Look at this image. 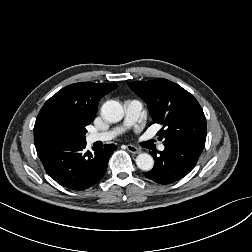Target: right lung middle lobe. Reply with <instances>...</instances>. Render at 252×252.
Segmentation results:
<instances>
[{
	"mask_svg": "<svg viewBox=\"0 0 252 252\" xmlns=\"http://www.w3.org/2000/svg\"><path fill=\"white\" fill-rule=\"evenodd\" d=\"M86 132V129H75L61 123H53L41 132L38 147L67 142H83Z\"/></svg>",
	"mask_w": 252,
	"mask_h": 252,
	"instance_id": "right-lung-middle-lobe-1",
	"label": "right lung middle lobe"
}]
</instances>
